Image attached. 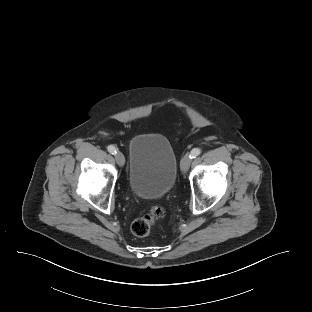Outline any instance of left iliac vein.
I'll use <instances>...</instances> for the list:
<instances>
[{"label": "left iliac vein", "instance_id": "4c4485c4", "mask_svg": "<svg viewBox=\"0 0 312 312\" xmlns=\"http://www.w3.org/2000/svg\"><path fill=\"white\" fill-rule=\"evenodd\" d=\"M190 164H191L190 155L188 154L184 155L180 163L182 173H186L188 171Z\"/></svg>", "mask_w": 312, "mask_h": 312}]
</instances>
